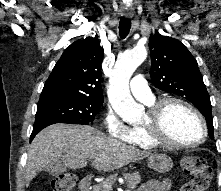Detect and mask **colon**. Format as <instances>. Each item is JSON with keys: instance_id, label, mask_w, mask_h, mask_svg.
I'll use <instances>...</instances> for the list:
<instances>
[{"instance_id": "obj_1", "label": "colon", "mask_w": 221, "mask_h": 191, "mask_svg": "<svg viewBox=\"0 0 221 191\" xmlns=\"http://www.w3.org/2000/svg\"><path fill=\"white\" fill-rule=\"evenodd\" d=\"M182 171L190 176L181 191H207L212 177V168L199 156H186L180 161ZM77 178L72 173H63L51 180V191H72Z\"/></svg>"}]
</instances>
